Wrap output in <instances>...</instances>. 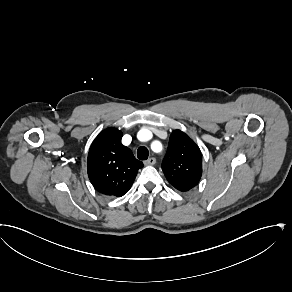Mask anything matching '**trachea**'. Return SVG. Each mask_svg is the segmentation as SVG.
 <instances>
[{"label":"trachea","instance_id":"1","mask_svg":"<svg viewBox=\"0 0 292 292\" xmlns=\"http://www.w3.org/2000/svg\"><path fill=\"white\" fill-rule=\"evenodd\" d=\"M149 156V151L146 147L141 146L137 150V157L140 160H147Z\"/></svg>","mask_w":292,"mask_h":292}]
</instances>
